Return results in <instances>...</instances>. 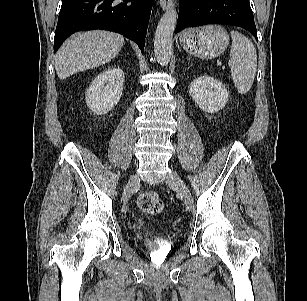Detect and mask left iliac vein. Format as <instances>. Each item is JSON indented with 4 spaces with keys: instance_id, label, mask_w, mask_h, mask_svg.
Here are the masks:
<instances>
[{
    "instance_id": "4c4485c4",
    "label": "left iliac vein",
    "mask_w": 307,
    "mask_h": 301,
    "mask_svg": "<svg viewBox=\"0 0 307 301\" xmlns=\"http://www.w3.org/2000/svg\"><path fill=\"white\" fill-rule=\"evenodd\" d=\"M166 183L177 190V192L181 195L184 204L189 210H192L194 208V201L192 195L188 187L186 186V184L184 183V181L177 172L172 171L167 176Z\"/></svg>"
}]
</instances>
